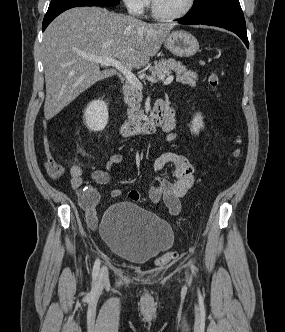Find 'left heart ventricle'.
Here are the masks:
<instances>
[{
	"label": "left heart ventricle",
	"instance_id": "b2bd125f",
	"mask_svg": "<svg viewBox=\"0 0 285 332\" xmlns=\"http://www.w3.org/2000/svg\"><path fill=\"white\" fill-rule=\"evenodd\" d=\"M157 11L165 15L181 12L188 4V0H154Z\"/></svg>",
	"mask_w": 285,
	"mask_h": 332
}]
</instances>
